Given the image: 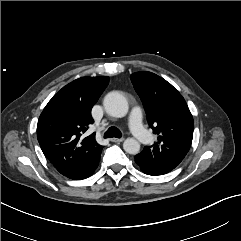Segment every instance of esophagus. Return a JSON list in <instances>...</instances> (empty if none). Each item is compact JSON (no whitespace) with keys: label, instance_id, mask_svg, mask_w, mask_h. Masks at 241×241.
I'll list each match as a JSON object with an SVG mask.
<instances>
[{"label":"esophagus","instance_id":"1","mask_svg":"<svg viewBox=\"0 0 241 241\" xmlns=\"http://www.w3.org/2000/svg\"><path fill=\"white\" fill-rule=\"evenodd\" d=\"M124 140V138H112L111 141L112 142H122Z\"/></svg>","mask_w":241,"mask_h":241}]
</instances>
